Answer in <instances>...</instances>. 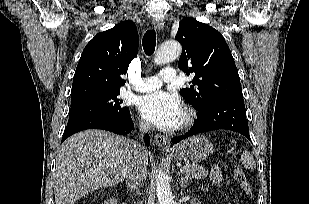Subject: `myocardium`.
I'll list each match as a JSON object with an SVG mask.
<instances>
[{
    "instance_id": "f54148a6",
    "label": "myocardium",
    "mask_w": 309,
    "mask_h": 204,
    "mask_svg": "<svg viewBox=\"0 0 309 204\" xmlns=\"http://www.w3.org/2000/svg\"><path fill=\"white\" fill-rule=\"evenodd\" d=\"M195 120V112L191 108H186L183 112L181 122L178 125L179 129H185L193 124Z\"/></svg>"
}]
</instances>
